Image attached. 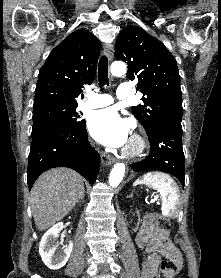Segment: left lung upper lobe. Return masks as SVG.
<instances>
[{
	"label": "left lung upper lobe",
	"instance_id": "5c2ea615",
	"mask_svg": "<svg viewBox=\"0 0 221 278\" xmlns=\"http://www.w3.org/2000/svg\"><path fill=\"white\" fill-rule=\"evenodd\" d=\"M115 57L127 63L128 79H138L143 104L132 106V113L146 132L160 123L181 125L180 76L166 46L142 28L127 26L116 40Z\"/></svg>",
	"mask_w": 221,
	"mask_h": 278
}]
</instances>
